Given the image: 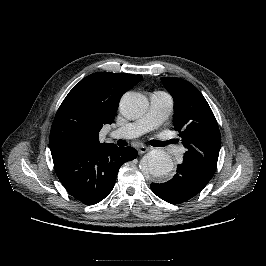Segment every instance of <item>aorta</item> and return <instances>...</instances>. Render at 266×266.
<instances>
[{
    "label": "aorta",
    "instance_id": "762f6f07",
    "mask_svg": "<svg viewBox=\"0 0 266 266\" xmlns=\"http://www.w3.org/2000/svg\"><path fill=\"white\" fill-rule=\"evenodd\" d=\"M147 108L148 100L140 93L127 92L120 101V109L128 118L142 116ZM141 168L145 174H150L153 177H163L173 170L174 164L169 154L163 150L154 149L145 156Z\"/></svg>",
    "mask_w": 266,
    "mask_h": 266
}]
</instances>
